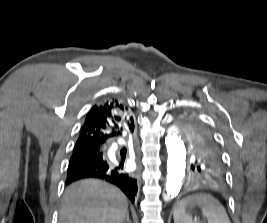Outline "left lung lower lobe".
<instances>
[{
	"label": "left lung lower lobe",
	"instance_id": "1",
	"mask_svg": "<svg viewBox=\"0 0 267 223\" xmlns=\"http://www.w3.org/2000/svg\"><path fill=\"white\" fill-rule=\"evenodd\" d=\"M187 182L190 184V189H200V194H209L210 190H219L228 187L229 183L225 182L227 171H189Z\"/></svg>",
	"mask_w": 267,
	"mask_h": 223
}]
</instances>
